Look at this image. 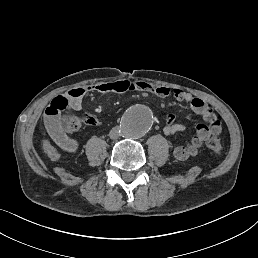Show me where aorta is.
I'll list each match as a JSON object with an SVG mask.
<instances>
[{"mask_svg": "<svg viewBox=\"0 0 258 258\" xmlns=\"http://www.w3.org/2000/svg\"><path fill=\"white\" fill-rule=\"evenodd\" d=\"M152 124V111L147 106L135 105L122 116L120 130L124 137L138 139L148 132Z\"/></svg>", "mask_w": 258, "mask_h": 258, "instance_id": "obj_1", "label": "aorta"}]
</instances>
